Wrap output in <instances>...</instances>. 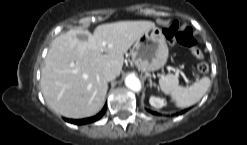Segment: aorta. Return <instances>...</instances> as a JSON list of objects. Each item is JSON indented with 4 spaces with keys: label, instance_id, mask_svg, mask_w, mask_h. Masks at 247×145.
Listing matches in <instances>:
<instances>
[{
    "label": "aorta",
    "instance_id": "1",
    "mask_svg": "<svg viewBox=\"0 0 247 145\" xmlns=\"http://www.w3.org/2000/svg\"><path fill=\"white\" fill-rule=\"evenodd\" d=\"M125 85L135 91V92H138L141 90V82L139 80V78H137L135 75H128L126 78H125Z\"/></svg>",
    "mask_w": 247,
    "mask_h": 145
}]
</instances>
